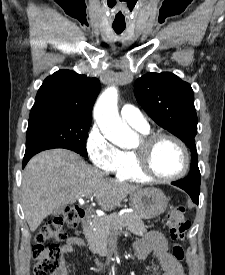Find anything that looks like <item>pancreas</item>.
Segmentation results:
<instances>
[{
  "label": "pancreas",
  "mask_w": 225,
  "mask_h": 275,
  "mask_svg": "<svg viewBox=\"0 0 225 275\" xmlns=\"http://www.w3.org/2000/svg\"><path fill=\"white\" fill-rule=\"evenodd\" d=\"M123 228L138 236H143L147 232L142 219L135 213H113L105 218H95L92 225L84 229L91 252L100 256L108 255L109 237L118 235Z\"/></svg>",
  "instance_id": "pancreas-1"
}]
</instances>
